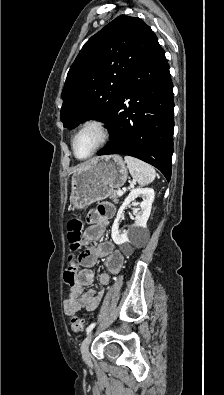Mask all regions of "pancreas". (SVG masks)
I'll return each mask as SVG.
<instances>
[{
	"mask_svg": "<svg viewBox=\"0 0 224 395\" xmlns=\"http://www.w3.org/2000/svg\"><path fill=\"white\" fill-rule=\"evenodd\" d=\"M110 198H111L114 202H117V201H118V195H117V193H116V192H113V193L110 195Z\"/></svg>",
	"mask_w": 224,
	"mask_h": 395,
	"instance_id": "1",
	"label": "pancreas"
}]
</instances>
